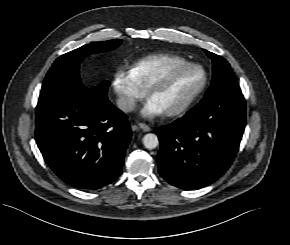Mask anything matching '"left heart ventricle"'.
<instances>
[{"mask_svg": "<svg viewBox=\"0 0 290 245\" xmlns=\"http://www.w3.org/2000/svg\"><path fill=\"white\" fill-rule=\"evenodd\" d=\"M163 73H166V71ZM202 81L203 74L201 70L189 68L171 75L168 81L151 93L150 97L166 112L184 103L201 85Z\"/></svg>", "mask_w": 290, "mask_h": 245, "instance_id": "obj_1", "label": "left heart ventricle"}]
</instances>
